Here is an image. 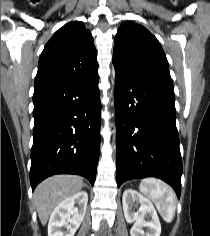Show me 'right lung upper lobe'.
Masks as SVG:
<instances>
[{
	"mask_svg": "<svg viewBox=\"0 0 210 236\" xmlns=\"http://www.w3.org/2000/svg\"><path fill=\"white\" fill-rule=\"evenodd\" d=\"M91 32L83 22H69L48 41L41 53L35 91H50L98 69Z\"/></svg>",
	"mask_w": 210,
	"mask_h": 236,
	"instance_id": "right-lung-upper-lobe-1",
	"label": "right lung upper lobe"
}]
</instances>
